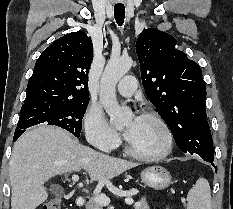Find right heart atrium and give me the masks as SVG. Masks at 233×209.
<instances>
[{
	"label": "right heart atrium",
	"instance_id": "1",
	"mask_svg": "<svg viewBox=\"0 0 233 209\" xmlns=\"http://www.w3.org/2000/svg\"><path fill=\"white\" fill-rule=\"evenodd\" d=\"M83 123L86 138L94 148L108 152L119 145L118 136L109 128L98 106H88Z\"/></svg>",
	"mask_w": 233,
	"mask_h": 209
}]
</instances>
